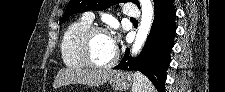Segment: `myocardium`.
<instances>
[{"label":"myocardium","mask_w":225,"mask_h":92,"mask_svg":"<svg viewBox=\"0 0 225 92\" xmlns=\"http://www.w3.org/2000/svg\"><path fill=\"white\" fill-rule=\"evenodd\" d=\"M105 32L109 33L108 29L101 25H91L87 29H85L79 36L77 40V52L79 56L81 57L83 63L90 68L93 69H108L113 67L118 59H119V53L118 51L115 52L114 57L112 60L105 64H98L95 62L90 54V44L93 36L97 33Z\"/></svg>","instance_id":"f54148a6"}]
</instances>
